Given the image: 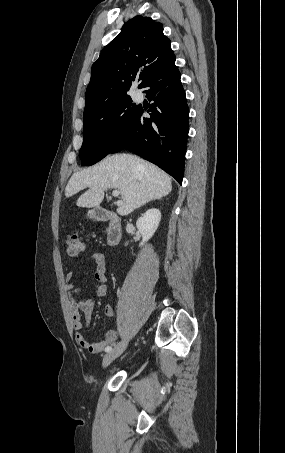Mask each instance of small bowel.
<instances>
[{
	"instance_id": "small-bowel-1",
	"label": "small bowel",
	"mask_w": 285,
	"mask_h": 453,
	"mask_svg": "<svg viewBox=\"0 0 285 453\" xmlns=\"http://www.w3.org/2000/svg\"><path fill=\"white\" fill-rule=\"evenodd\" d=\"M94 264V278L98 282L95 287V297L82 298L81 290L72 282L73 273L67 274L68 290L72 294L70 302V314L72 325L75 332V339L78 345L92 354L103 352L107 347L114 344L118 331L116 329L108 330L102 340L97 343H91L82 333L84 326L88 325L92 318V313L96 305V298L105 297L108 293L107 275H106V257L103 253L96 252L91 255ZM104 315L111 317L114 313L112 306H105ZM82 315L84 320H82Z\"/></svg>"
}]
</instances>
